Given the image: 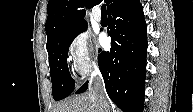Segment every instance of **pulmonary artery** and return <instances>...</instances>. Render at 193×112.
<instances>
[{
  "instance_id": "obj_1",
  "label": "pulmonary artery",
  "mask_w": 193,
  "mask_h": 112,
  "mask_svg": "<svg viewBox=\"0 0 193 112\" xmlns=\"http://www.w3.org/2000/svg\"><path fill=\"white\" fill-rule=\"evenodd\" d=\"M94 19L96 22L100 23L102 21V15L99 10L94 12Z\"/></svg>"
}]
</instances>
